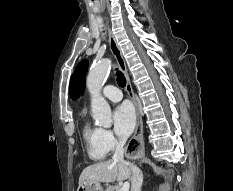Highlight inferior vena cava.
I'll list each match as a JSON object with an SVG mask.
<instances>
[{"instance_id":"602c4592","label":"inferior vena cava","mask_w":233,"mask_h":191,"mask_svg":"<svg viewBox=\"0 0 233 191\" xmlns=\"http://www.w3.org/2000/svg\"><path fill=\"white\" fill-rule=\"evenodd\" d=\"M126 143L125 138H120V140L116 143L115 153L113 155L114 162H122L128 165L131 168L132 176H131V191H140L142 182H143V174L142 171L135 165L130 162L124 161V145Z\"/></svg>"}]
</instances>
